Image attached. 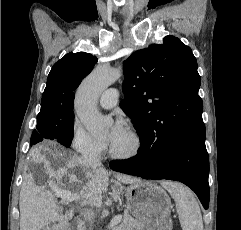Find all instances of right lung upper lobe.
<instances>
[{
	"label": "right lung upper lobe",
	"instance_id": "right-lung-upper-lobe-1",
	"mask_svg": "<svg viewBox=\"0 0 241 230\" xmlns=\"http://www.w3.org/2000/svg\"><path fill=\"white\" fill-rule=\"evenodd\" d=\"M96 62V56L85 52H70L57 61L48 75L40 112L74 113V90Z\"/></svg>",
	"mask_w": 241,
	"mask_h": 230
}]
</instances>
